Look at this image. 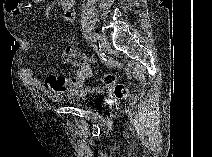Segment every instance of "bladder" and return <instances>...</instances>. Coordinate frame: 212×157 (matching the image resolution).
Returning a JSON list of instances; mask_svg holds the SVG:
<instances>
[{
    "label": "bladder",
    "mask_w": 212,
    "mask_h": 157,
    "mask_svg": "<svg viewBox=\"0 0 212 157\" xmlns=\"http://www.w3.org/2000/svg\"><path fill=\"white\" fill-rule=\"evenodd\" d=\"M103 91L98 87H86L80 91L71 93L64 98V101L81 108H90L102 98Z\"/></svg>",
    "instance_id": "31cf9c89"
}]
</instances>
